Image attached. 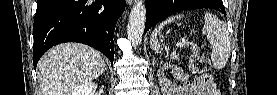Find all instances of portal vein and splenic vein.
I'll list each match as a JSON object with an SVG mask.
<instances>
[{"instance_id": "obj_1", "label": "portal vein and splenic vein", "mask_w": 277, "mask_h": 95, "mask_svg": "<svg viewBox=\"0 0 277 95\" xmlns=\"http://www.w3.org/2000/svg\"><path fill=\"white\" fill-rule=\"evenodd\" d=\"M185 45H186V42H178L176 44V46L179 47V48H183V47H185Z\"/></svg>"}]
</instances>
